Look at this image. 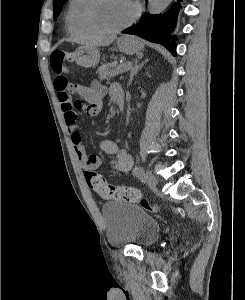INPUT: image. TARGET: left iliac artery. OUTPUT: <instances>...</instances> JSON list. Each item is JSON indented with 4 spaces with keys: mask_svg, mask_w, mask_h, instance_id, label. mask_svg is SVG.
Returning <instances> with one entry per match:
<instances>
[{
    "mask_svg": "<svg viewBox=\"0 0 245 300\" xmlns=\"http://www.w3.org/2000/svg\"><path fill=\"white\" fill-rule=\"evenodd\" d=\"M133 173L135 176H137L139 179L141 177H144V171L141 167H135L134 170H133Z\"/></svg>",
    "mask_w": 245,
    "mask_h": 300,
    "instance_id": "1",
    "label": "left iliac artery"
}]
</instances>
